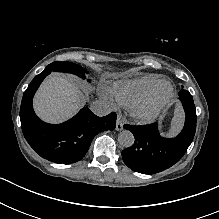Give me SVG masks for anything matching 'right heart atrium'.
<instances>
[{
	"instance_id": "right-heart-atrium-1",
	"label": "right heart atrium",
	"mask_w": 219,
	"mask_h": 219,
	"mask_svg": "<svg viewBox=\"0 0 219 219\" xmlns=\"http://www.w3.org/2000/svg\"><path fill=\"white\" fill-rule=\"evenodd\" d=\"M108 102H109V104L112 106L113 104H112V102L110 101V100H108Z\"/></svg>"
}]
</instances>
